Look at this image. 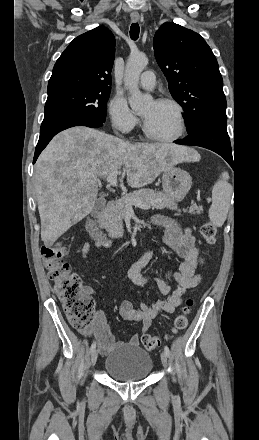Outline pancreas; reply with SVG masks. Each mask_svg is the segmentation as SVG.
<instances>
[{
  "label": "pancreas",
  "instance_id": "cf45deb5",
  "mask_svg": "<svg viewBox=\"0 0 259 440\" xmlns=\"http://www.w3.org/2000/svg\"><path fill=\"white\" fill-rule=\"evenodd\" d=\"M127 197L136 199L152 207V209L162 210L168 208L170 210H178L177 203L171 197H168L161 191H154L152 189H140L129 193L126 196L118 199L115 203L106 210L102 226L109 232L112 237H121L123 235V219L126 216V211L132 205H128L125 201ZM180 211V210H178ZM184 212L190 214H200L203 211L202 206L193 204L189 209H183Z\"/></svg>",
  "mask_w": 259,
  "mask_h": 440
}]
</instances>
